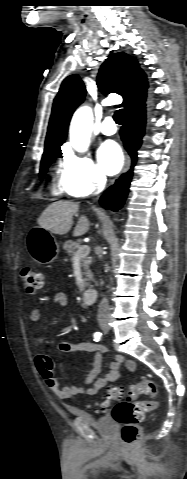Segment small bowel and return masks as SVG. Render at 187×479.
<instances>
[{
	"instance_id": "small-bowel-1",
	"label": "small bowel",
	"mask_w": 187,
	"mask_h": 479,
	"mask_svg": "<svg viewBox=\"0 0 187 479\" xmlns=\"http://www.w3.org/2000/svg\"><path fill=\"white\" fill-rule=\"evenodd\" d=\"M53 304L56 309L67 308L70 306L69 296L64 292H57L53 296ZM41 313L38 309H33L29 315L31 323L39 325L41 323ZM35 343L39 348L43 346V338L35 337ZM58 350L64 353L75 351H86L94 354V366L90 373L80 385L61 387L58 377L53 371V363L49 354L41 353L36 358V367L45 380L46 385L61 400H77L84 395H96L102 388L109 383L116 382L124 368L134 370L136 363L132 360H125L122 356H117L110 363V371L99 377L102 364V355L107 352V348L93 343L89 340L83 342H61L58 344Z\"/></svg>"
}]
</instances>
